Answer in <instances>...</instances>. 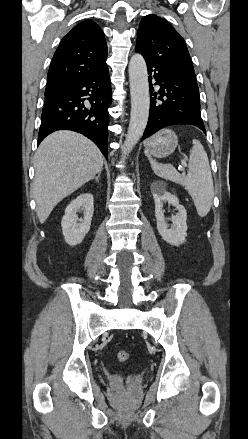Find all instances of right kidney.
Instances as JSON below:
<instances>
[{"instance_id": "ca27d5eb", "label": "right kidney", "mask_w": 248, "mask_h": 439, "mask_svg": "<svg viewBox=\"0 0 248 439\" xmlns=\"http://www.w3.org/2000/svg\"><path fill=\"white\" fill-rule=\"evenodd\" d=\"M80 210H83L84 217L79 219L77 212ZM93 212V195L91 193L79 195L66 207L61 226L67 244L75 246L83 241L90 229Z\"/></svg>"}]
</instances>
